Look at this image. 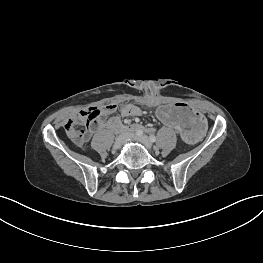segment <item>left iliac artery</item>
Returning <instances> with one entry per match:
<instances>
[{
	"label": "left iliac artery",
	"mask_w": 263,
	"mask_h": 263,
	"mask_svg": "<svg viewBox=\"0 0 263 263\" xmlns=\"http://www.w3.org/2000/svg\"><path fill=\"white\" fill-rule=\"evenodd\" d=\"M150 141H151V142H155V141H156L155 135H151V136H150Z\"/></svg>",
	"instance_id": "obj_1"
}]
</instances>
